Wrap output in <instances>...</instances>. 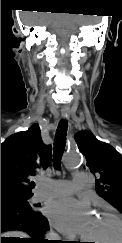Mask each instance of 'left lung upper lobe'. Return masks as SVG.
I'll return each mask as SVG.
<instances>
[{
	"instance_id": "1",
	"label": "left lung upper lobe",
	"mask_w": 122,
	"mask_h": 243,
	"mask_svg": "<svg viewBox=\"0 0 122 243\" xmlns=\"http://www.w3.org/2000/svg\"><path fill=\"white\" fill-rule=\"evenodd\" d=\"M75 141L86 157L87 168L98 177L97 193L122 213V156L88 131L78 132Z\"/></svg>"
}]
</instances>
